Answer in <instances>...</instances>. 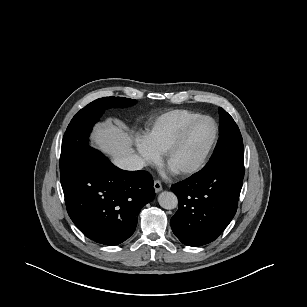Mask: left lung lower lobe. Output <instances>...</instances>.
<instances>
[{"instance_id":"obj_1","label":"left lung lower lobe","mask_w":307,"mask_h":307,"mask_svg":"<svg viewBox=\"0 0 307 307\" xmlns=\"http://www.w3.org/2000/svg\"><path fill=\"white\" fill-rule=\"evenodd\" d=\"M243 178L223 169L201 170L171 186L179 208L171 218L175 236L185 245L214 241L233 219Z\"/></svg>"}]
</instances>
